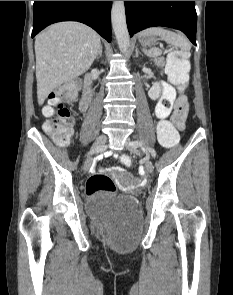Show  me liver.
I'll use <instances>...</instances> for the list:
<instances>
[{"mask_svg":"<svg viewBox=\"0 0 233 295\" xmlns=\"http://www.w3.org/2000/svg\"><path fill=\"white\" fill-rule=\"evenodd\" d=\"M100 47L99 34L79 22H59L41 32L35 39L39 105L55 88L87 72Z\"/></svg>","mask_w":233,"mask_h":295,"instance_id":"1","label":"liver"}]
</instances>
